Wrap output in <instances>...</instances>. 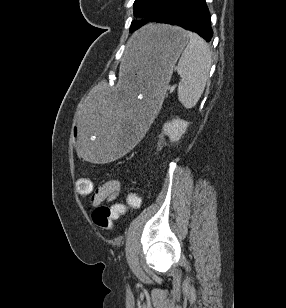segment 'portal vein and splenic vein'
I'll use <instances>...</instances> for the list:
<instances>
[{"mask_svg":"<svg viewBox=\"0 0 286 308\" xmlns=\"http://www.w3.org/2000/svg\"><path fill=\"white\" fill-rule=\"evenodd\" d=\"M176 88V85H173L172 87H171V90H174Z\"/></svg>","mask_w":286,"mask_h":308,"instance_id":"1","label":"portal vein and splenic vein"}]
</instances>
